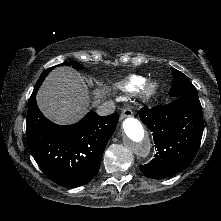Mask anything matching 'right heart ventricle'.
Here are the masks:
<instances>
[{"mask_svg": "<svg viewBox=\"0 0 221 221\" xmlns=\"http://www.w3.org/2000/svg\"><path fill=\"white\" fill-rule=\"evenodd\" d=\"M146 78L139 75H132L119 83V88L125 92H136L146 83Z\"/></svg>", "mask_w": 221, "mask_h": 221, "instance_id": "obj_1", "label": "right heart ventricle"}]
</instances>
